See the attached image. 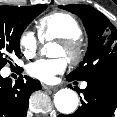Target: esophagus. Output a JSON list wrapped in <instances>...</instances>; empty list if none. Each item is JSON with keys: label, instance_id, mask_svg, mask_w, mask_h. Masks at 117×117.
<instances>
[{"label": "esophagus", "instance_id": "obj_1", "mask_svg": "<svg viewBox=\"0 0 117 117\" xmlns=\"http://www.w3.org/2000/svg\"><path fill=\"white\" fill-rule=\"evenodd\" d=\"M42 87L45 90H56L58 88L57 86H49V85H45V84H42Z\"/></svg>", "mask_w": 117, "mask_h": 117}]
</instances>
